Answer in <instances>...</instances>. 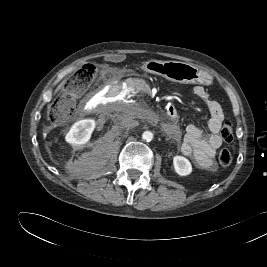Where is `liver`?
Returning a JSON list of instances; mask_svg holds the SVG:
<instances>
[{"label": "liver", "instance_id": "obj_1", "mask_svg": "<svg viewBox=\"0 0 267 267\" xmlns=\"http://www.w3.org/2000/svg\"><path fill=\"white\" fill-rule=\"evenodd\" d=\"M66 81H67V79L63 80V81L57 86V88H56L55 91H54V94H56L60 89L63 88V86L65 85Z\"/></svg>", "mask_w": 267, "mask_h": 267}]
</instances>
